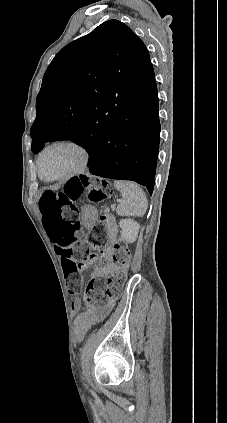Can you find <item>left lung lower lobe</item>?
<instances>
[{
    "label": "left lung lower lobe",
    "mask_w": 227,
    "mask_h": 423,
    "mask_svg": "<svg viewBox=\"0 0 227 423\" xmlns=\"http://www.w3.org/2000/svg\"><path fill=\"white\" fill-rule=\"evenodd\" d=\"M160 122L156 81L147 93L141 111L108 112L94 134L74 142L90 155L93 175L131 180L146 186L150 194L155 184L159 151Z\"/></svg>",
    "instance_id": "0a47b994"
}]
</instances>
